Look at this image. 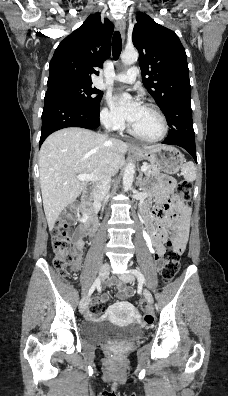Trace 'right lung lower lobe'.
<instances>
[{
	"label": "right lung lower lobe",
	"instance_id": "1",
	"mask_svg": "<svg viewBox=\"0 0 228 396\" xmlns=\"http://www.w3.org/2000/svg\"><path fill=\"white\" fill-rule=\"evenodd\" d=\"M100 125L99 108H86L65 96L45 97L39 145L53 132L67 127L96 129Z\"/></svg>",
	"mask_w": 228,
	"mask_h": 396
}]
</instances>
